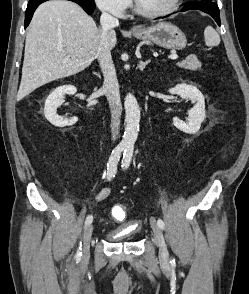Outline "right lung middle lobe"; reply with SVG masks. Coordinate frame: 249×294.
Listing matches in <instances>:
<instances>
[{"label": "right lung middle lobe", "instance_id": "1", "mask_svg": "<svg viewBox=\"0 0 249 294\" xmlns=\"http://www.w3.org/2000/svg\"><path fill=\"white\" fill-rule=\"evenodd\" d=\"M29 1H33V0H29ZM84 4L95 7V2L94 0H82Z\"/></svg>", "mask_w": 249, "mask_h": 294}]
</instances>
